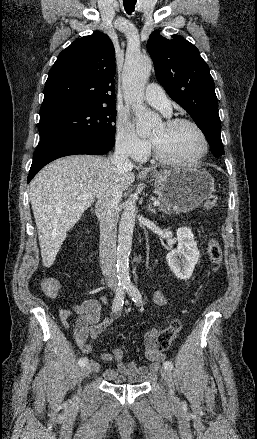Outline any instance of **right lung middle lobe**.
I'll return each mask as SVG.
<instances>
[{
  "instance_id": "dd1d6c3e",
  "label": "right lung middle lobe",
  "mask_w": 257,
  "mask_h": 439,
  "mask_svg": "<svg viewBox=\"0 0 257 439\" xmlns=\"http://www.w3.org/2000/svg\"><path fill=\"white\" fill-rule=\"evenodd\" d=\"M115 106H93L41 118L40 140L63 134H81L115 143Z\"/></svg>"
}]
</instances>
